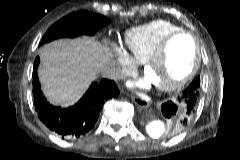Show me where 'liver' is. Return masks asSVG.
Listing matches in <instances>:
<instances>
[{
	"label": "liver",
	"instance_id": "obj_1",
	"mask_svg": "<svg viewBox=\"0 0 240 160\" xmlns=\"http://www.w3.org/2000/svg\"><path fill=\"white\" fill-rule=\"evenodd\" d=\"M38 70L42 90L54 105H73L96 78L99 69L111 63L109 49L94 38L55 40L40 49Z\"/></svg>",
	"mask_w": 240,
	"mask_h": 160
}]
</instances>
